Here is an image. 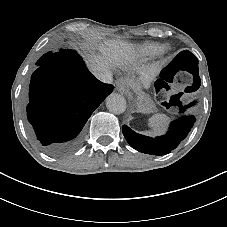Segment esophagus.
<instances>
[{
  "mask_svg": "<svg viewBox=\"0 0 227 227\" xmlns=\"http://www.w3.org/2000/svg\"><path fill=\"white\" fill-rule=\"evenodd\" d=\"M116 88L117 90L128 97L129 101L133 100V94L130 90V87L125 83V81L122 78H119L116 80Z\"/></svg>",
  "mask_w": 227,
  "mask_h": 227,
  "instance_id": "obj_1",
  "label": "esophagus"
}]
</instances>
